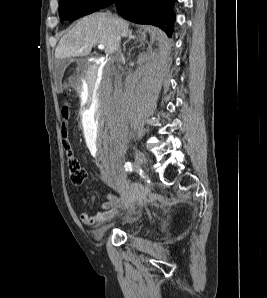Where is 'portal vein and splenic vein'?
Here are the masks:
<instances>
[{"label": "portal vein and splenic vein", "instance_id": "obj_1", "mask_svg": "<svg viewBox=\"0 0 267 298\" xmlns=\"http://www.w3.org/2000/svg\"><path fill=\"white\" fill-rule=\"evenodd\" d=\"M104 48H105V47H104L103 44H99V45H98V49L103 50Z\"/></svg>", "mask_w": 267, "mask_h": 298}]
</instances>
